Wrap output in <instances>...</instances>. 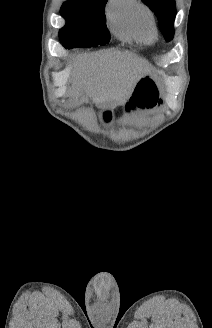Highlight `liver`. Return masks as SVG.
Returning <instances> with one entry per match:
<instances>
[{
    "mask_svg": "<svg viewBox=\"0 0 212 328\" xmlns=\"http://www.w3.org/2000/svg\"><path fill=\"white\" fill-rule=\"evenodd\" d=\"M139 58L131 52L104 50L85 59L71 78L72 95L86 88L94 102L123 103L138 80Z\"/></svg>",
    "mask_w": 212,
    "mask_h": 328,
    "instance_id": "obj_1",
    "label": "liver"
}]
</instances>
